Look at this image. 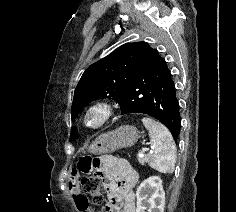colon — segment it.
<instances>
[{
  "instance_id": "obj_1",
  "label": "colon",
  "mask_w": 236,
  "mask_h": 212,
  "mask_svg": "<svg viewBox=\"0 0 236 212\" xmlns=\"http://www.w3.org/2000/svg\"><path fill=\"white\" fill-rule=\"evenodd\" d=\"M95 162L92 158H84L79 162V168L86 171V176L80 181L81 189L84 193L89 194L96 203L103 201L102 181L95 171Z\"/></svg>"
}]
</instances>
